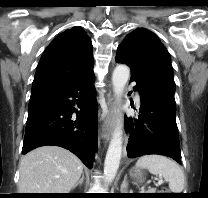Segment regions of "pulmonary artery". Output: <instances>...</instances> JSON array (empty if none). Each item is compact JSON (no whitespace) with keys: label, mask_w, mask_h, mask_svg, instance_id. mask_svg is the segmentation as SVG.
Segmentation results:
<instances>
[{"label":"pulmonary artery","mask_w":208,"mask_h":198,"mask_svg":"<svg viewBox=\"0 0 208 198\" xmlns=\"http://www.w3.org/2000/svg\"><path fill=\"white\" fill-rule=\"evenodd\" d=\"M135 101H136L137 104L140 103V95H139L138 92L135 93Z\"/></svg>","instance_id":"1"}]
</instances>
